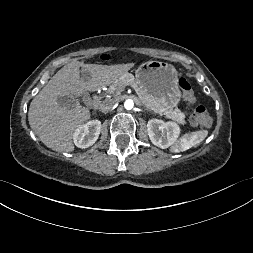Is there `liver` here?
Here are the masks:
<instances>
[{
	"instance_id": "1",
	"label": "liver",
	"mask_w": 253,
	"mask_h": 253,
	"mask_svg": "<svg viewBox=\"0 0 253 253\" xmlns=\"http://www.w3.org/2000/svg\"><path fill=\"white\" fill-rule=\"evenodd\" d=\"M132 66V63L111 66L79 61L68 63L30 103V127L48 148L58 152H73L74 132L91 116L89 109L78 105L76 98L113 84ZM62 96L72 97L75 105L71 108L60 105L58 98Z\"/></svg>"
}]
</instances>
